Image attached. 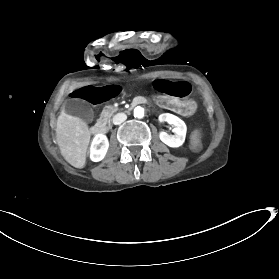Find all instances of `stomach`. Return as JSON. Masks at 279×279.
<instances>
[{
    "label": "stomach",
    "instance_id": "0dacf381",
    "mask_svg": "<svg viewBox=\"0 0 279 279\" xmlns=\"http://www.w3.org/2000/svg\"><path fill=\"white\" fill-rule=\"evenodd\" d=\"M155 104L157 106H163L168 110H175L181 112V114L185 117H193L198 112V105L193 100H177L172 96L157 97L155 99Z\"/></svg>",
    "mask_w": 279,
    "mask_h": 279
}]
</instances>
